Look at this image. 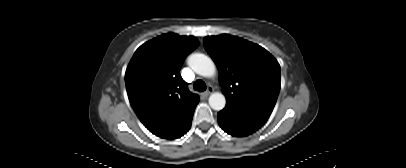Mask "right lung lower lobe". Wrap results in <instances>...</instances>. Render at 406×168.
<instances>
[{"label":"right lung lower lobe","instance_id":"obj_1","mask_svg":"<svg viewBox=\"0 0 406 168\" xmlns=\"http://www.w3.org/2000/svg\"><path fill=\"white\" fill-rule=\"evenodd\" d=\"M194 110H192L188 114L186 119L183 122H181L172 133L169 134V137L167 139L179 138V137L183 136L190 129Z\"/></svg>","mask_w":406,"mask_h":168}]
</instances>
